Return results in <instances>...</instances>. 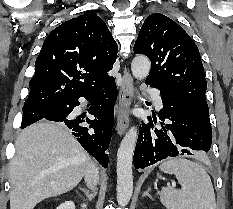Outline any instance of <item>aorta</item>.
<instances>
[{
  "instance_id": "aorta-1",
  "label": "aorta",
  "mask_w": 233,
  "mask_h": 209,
  "mask_svg": "<svg viewBox=\"0 0 233 209\" xmlns=\"http://www.w3.org/2000/svg\"><path fill=\"white\" fill-rule=\"evenodd\" d=\"M151 68L146 56L138 55L131 63V71L136 79H145ZM138 138V129L131 127L122 139L117 152V202L126 206L133 193L132 158Z\"/></svg>"
}]
</instances>
